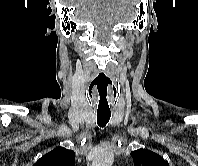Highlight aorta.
<instances>
[{
    "mask_svg": "<svg viewBox=\"0 0 198 166\" xmlns=\"http://www.w3.org/2000/svg\"><path fill=\"white\" fill-rule=\"evenodd\" d=\"M113 155L109 153L100 154L93 160L91 166H112Z\"/></svg>",
    "mask_w": 198,
    "mask_h": 166,
    "instance_id": "aorta-1",
    "label": "aorta"
}]
</instances>
